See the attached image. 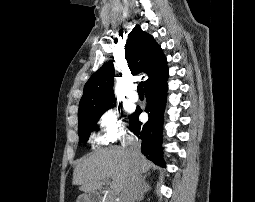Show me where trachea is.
<instances>
[{"label": "trachea", "mask_w": 255, "mask_h": 202, "mask_svg": "<svg viewBox=\"0 0 255 202\" xmlns=\"http://www.w3.org/2000/svg\"><path fill=\"white\" fill-rule=\"evenodd\" d=\"M137 91H138V94L140 95H143L144 92H143V82H140L138 87H137Z\"/></svg>", "instance_id": "3493384b"}]
</instances>
